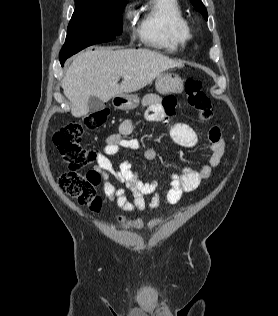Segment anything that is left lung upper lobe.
Wrapping results in <instances>:
<instances>
[{
    "label": "left lung upper lobe",
    "instance_id": "left-lung-upper-lobe-1",
    "mask_svg": "<svg viewBox=\"0 0 278 316\" xmlns=\"http://www.w3.org/2000/svg\"><path fill=\"white\" fill-rule=\"evenodd\" d=\"M190 1L193 4L195 10L199 11L203 15L205 20H207L208 18L207 10L205 6L203 5L202 1L201 0H190Z\"/></svg>",
    "mask_w": 278,
    "mask_h": 316
}]
</instances>
